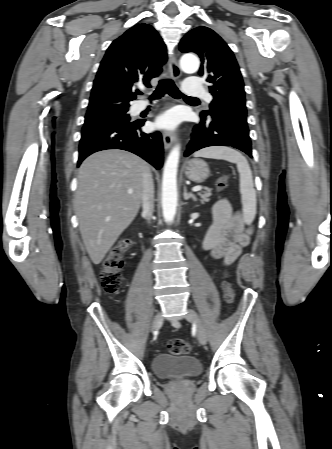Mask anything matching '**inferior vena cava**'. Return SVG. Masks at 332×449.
<instances>
[{
    "label": "inferior vena cava",
    "mask_w": 332,
    "mask_h": 449,
    "mask_svg": "<svg viewBox=\"0 0 332 449\" xmlns=\"http://www.w3.org/2000/svg\"><path fill=\"white\" fill-rule=\"evenodd\" d=\"M142 208L145 218L150 221L154 211V183L149 168L142 176Z\"/></svg>",
    "instance_id": "inferior-vena-cava-1"
}]
</instances>
